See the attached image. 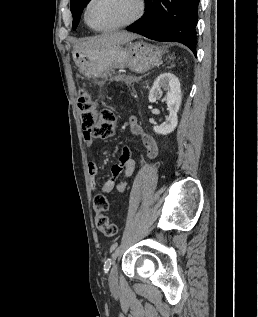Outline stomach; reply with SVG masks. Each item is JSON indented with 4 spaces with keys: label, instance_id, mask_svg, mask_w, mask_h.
<instances>
[{
    "label": "stomach",
    "instance_id": "1",
    "mask_svg": "<svg viewBox=\"0 0 258 317\" xmlns=\"http://www.w3.org/2000/svg\"><path fill=\"white\" fill-rule=\"evenodd\" d=\"M163 48L147 42H127L94 50H73L72 56L84 76H104L112 68L128 66L134 72H146L162 62Z\"/></svg>",
    "mask_w": 258,
    "mask_h": 317
}]
</instances>
